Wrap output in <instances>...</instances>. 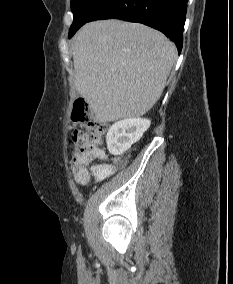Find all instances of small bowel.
Segmentation results:
<instances>
[{
	"label": "small bowel",
	"mask_w": 233,
	"mask_h": 284,
	"mask_svg": "<svg viewBox=\"0 0 233 284\" xmlns=\"http://www.w3.org/2000/svg\"><path fill=\"white\" fill-rule=\"evenodd\" d=\"M126 159L116 158L111 163L94 164L87 167L82 177H78L77 183L85 185L89 182L90 178L97 181L104 180L113 175L117 169L122 168L126 164Z\"/></svg>",
	"instance_id": "obj_1"
}]
</instances>
